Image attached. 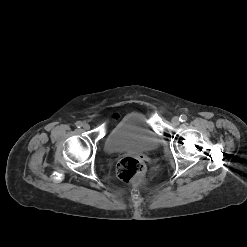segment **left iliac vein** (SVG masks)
Segmentation results:
<instances>
[{
    "mask_svg": "<svg viewBox=\"0 0 247 247\" xmlns=\"http://www.w3.org/2000/svg\"><path fill=\"white\" fill-rule=\"evenodd\" d=\"M172 123H173V125H175V126L179 125V124H180V119H179V117H177V116L173 117V118H172Z\"/></svg>",
    "mask_w": 247,
    "mask_h": 247,
    "instance_id": "4c4485c4",
    "label": "left iliac vein"
}]
</instances>
